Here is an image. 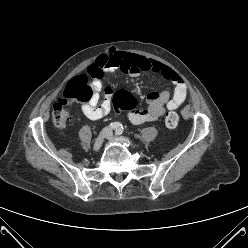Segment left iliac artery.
<instances>
[{
  "mask_svg": "<svg viewBox=\"0 0 248 248\" xmlns=\"http://www.w3.org/2000/svg\"><path fill=\"white\" fill-rule=\"evenodd\" d=\"M116 135H121L123 133V127L116 130Z\"/></svg>",
  "mask_w": 248,
  "mask_h": 248,
  "instance_id": "1",
  "label": "left iliac artery"
}]
</instances>
